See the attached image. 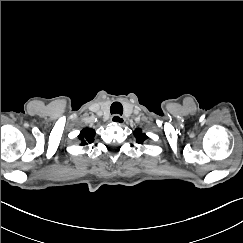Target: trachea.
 Here are the masks:
<instances>
[{
  "mask_svg": "<svg viewBox=\"0 0 243 243\" xmlns=\"http://www.w3.org/2000/svg\"><path fill=\"white\" fill-rule=\"evenodd\" d=\"M111 114H123V106L120 102H114L112 103L110 107Z\"/></svg>",
  "mask_w": 243,
  "mask_h": 243,
  "instance_id": "3493384b",
  "label": "trachea"
}]
</instances>
